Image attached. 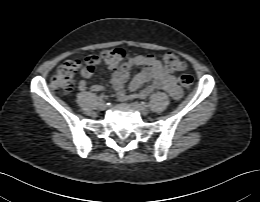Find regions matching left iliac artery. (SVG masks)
I'll list each match as a JSON object with an SVG mask.
<instances>
[{
  "label": "left iliac artery",
  "mask_w": 260,
  "mask_h": 202,
  "mask_svg": "<svg viewBox=\"0 0 260 202\" xmlns=\"http://www.w3.org/2000/svg\"><path fill=\"white\" fill-rule=\"evenodd\" d=\"M142 104H143V105H145V106L147 105V103H146V102H142Z\"/></svg>",
  "instance_id": "1"
}]
</instances>
